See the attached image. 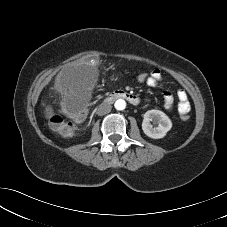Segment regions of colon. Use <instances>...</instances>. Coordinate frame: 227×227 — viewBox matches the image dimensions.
I'll return each mask as SVG.
<instances>
[{
	"label": "colon",
	"mask_w": 227,
	"mask_h": 227,
	"mask_svg": "<svg viewBox=\"0 0 227 227\" xmlns=\"http://www.w3.org/2000/svg\"><path fill=\"white\" fill-rule=\"evenodd\" d=\"M150 78L148 73H138L135 77L136 81L141 84H147ZM65 115L74 122H82L85 119V109L77 104H68L64 109ZM182 120H188L189 116L187 113H181ZM47 117L51 128L62 136H72L75 133L74 123L70 120H66L60 115L54 113L51 109L47 110Z\"/></svg>",
	"instance_id": "1"
}]
</instances>
